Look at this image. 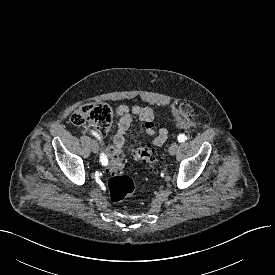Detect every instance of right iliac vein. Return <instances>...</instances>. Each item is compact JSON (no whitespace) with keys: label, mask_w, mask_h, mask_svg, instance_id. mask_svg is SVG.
I'll list each match as a JSON object with an SVG mask.
<instances>
[{"label":"right iliac vein","mask_w":275,"mask_h":275,"mask_svg":"<svg viewBox=\"0 0 275 275\" xmlns=\"http://www.w3.org/2000/svg\"><path fill=\"white\" fill-rule=\"evenodd\" d=\"M92 151H93V153H98V151H99V145L96 141L92 142Z\"/></svg>","instance_id":"63e3f726"}]
</instances>
